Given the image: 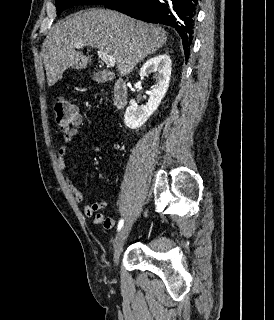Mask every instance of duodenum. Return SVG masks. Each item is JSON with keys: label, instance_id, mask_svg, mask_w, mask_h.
<instances>
[{"label": "duodenum", "instance_id": "1", "mask_svg": "<svg viewBox=\"0 0 274 320\" xmlns=\"http://www.w3.org/2000/svg\"><path fill=\"white\" fill-rule=\"evenodd\" d=\"M128 89L124 81H119L115 85L114 89V105L117 108H123L127 102Z\"/></svg>", "mask_w": 274, "mask_h": 320}]
</instances>
